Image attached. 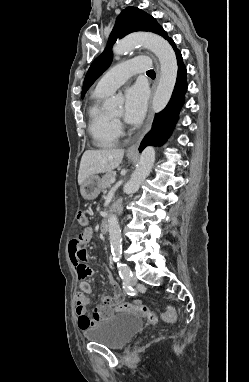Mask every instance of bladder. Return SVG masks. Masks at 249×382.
I'll return each mask as SVG.
<instances>
[{
    "label": "bladder",
    "mask_w": 249,
    "mask_h": 382,
    "mask_svg": "<svg viewBox=\"0 0 249 382\" xmlns=\"http://www.w3.org/2000/svg\"><path fill=\"white\" fill-rule=\"evenodd\" d=\"M143 325V319L137 314H116L86 329L85 338L111 349H120L143 328Z\"/></svg>",
    "instance_id": "obj_1"
}]
</instances>
